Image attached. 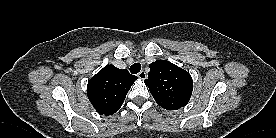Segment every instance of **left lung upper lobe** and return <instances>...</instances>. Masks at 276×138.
<instances>
[{
	"label": "left lung upper lobe",
	"instance_id": "obj_1",
	"mask_svg": "<svg viewBox=\"0 0 276 138\" xmlns=\"http://www.w3.org/2000/svg\"><path fill=\"white\" fill-rule=\"evenodd\" d=\"M144 82L155 101L164 109L177 110L190 100L193 81L189 72L167 60H157Z\"/></svg>",
	"mask_w": 276,
	"mask_h": 138
}]
</instances>
